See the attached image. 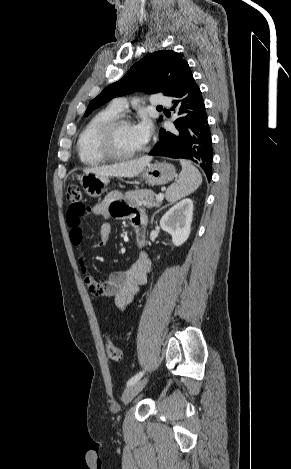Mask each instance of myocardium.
<instances>
[{"label": "myocardium", "instance_id": "myocardium-1", "mask_svg": "<svg viewBox=\"0 0 291 469\" xmlns=\"http://www.w3.org/2000/svg\"><path fill=\"white\" fill-rule=\"evenodd\" d=\"M124 124H132L131 120L124 115H118L117 117L108 121L101 129L99 133V147L101 152L106 158L111 160H127L142 154L146 150L144 145L142 148L129 152H119L114 143L115 133L117 129Z\"/></svg>", "mask_w": 291, "mask_h": 469}]
</instances>
